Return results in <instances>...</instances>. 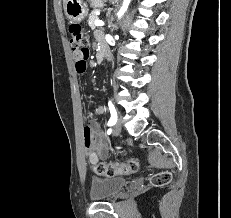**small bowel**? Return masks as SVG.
I'll list each match as a JSON object with an SVG mask.
<instances>
[{
  "label": "small bowel",
  "instance_id": "obj_1",
  "mask_svg": "<svg viewBox=\"0 0 231 218\" xmlns=\"http://www.w3.org/2000/svg\"><path fill=\"white\" fill-rule=\"evenodd\" d=\"M103 47V46H102ZM75 59V67L78 73H84L87 68L88 56H82L77 51L73 52ZM103 106H97L95 112L97 114L104 113ZM83 144L86 150V155L92 164H96L99 160L107 159L109 155V148L105 141L104 136L98 131L93 123H88L83 127L82 131Z\"/></svg>",
  "mask_w": 231,
  "mask_h": 218
}]
</instances>
